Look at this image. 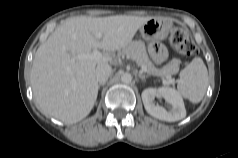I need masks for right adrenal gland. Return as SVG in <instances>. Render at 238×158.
<instances>
[{"mask_svg":"<svg viewBox=\"0 0 238 158\" xmlns=\"http://www.w3.org/2000/svg\"><path fill=\"white\" fill-rule=\"evenodd\" d=\"M104 85H105V83H99L98 88H100L101 86H104Z\"/></svg>","mask_w":238,"mask_h":158,"instance_id":"right-adrenal-gland-1","label":"right adrenal gland"}]
</instances>
